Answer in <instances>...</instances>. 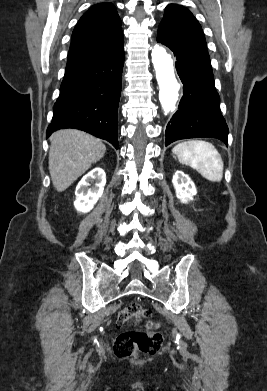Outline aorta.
<instances>
[{"label":"aorta","instance_id":"aorta-1","mask_svg":"<svg viewBox=\"0 0 267 391\" xmlns=\"http://www.w3.org/2000/svg\"><path fill=\"white\" fill-rule=\"evenodd\" d=\"M151 57L159 85V100L164 114L167 115L175 110L180 85L174 74L171 55L166 52L165 48L155 45Z\"/></svg>","mask_w":267,"mask_h":391}]
</instances>
